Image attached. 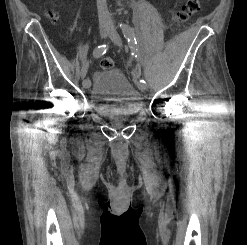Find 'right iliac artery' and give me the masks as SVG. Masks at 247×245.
<instances>
[{"label":"right iliac artery","instance_id":"82829eb1","mask_svg":"<svg viewBox=\"0 0 247 245\" xmlns=\"http://www.w3.org/2000/svg\"><path fill=\"white\" fill-rule=\"evenodd\" d=\"M109 47V43H105V44H101L99 46H97L94 50H93V57L95 58H99L101 57L102 55H104L107 51ZM89 66V63L88 62H84L83 63V67L80 71V79L81 81H86V76L88 75V67Z\"/></svg>","mask_w":247,"mask_h":245}]
</instances>
